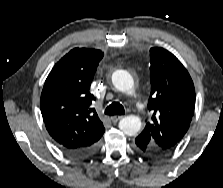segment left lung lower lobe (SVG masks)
Listing matches in <instances>:
<instances>
[{"instance_id": "obj_1", "label": "left lung lower lobe", "mask_w": 223, "mask_h": 188, "mask_svg": "<svg viewBox=\"0 0 223 188\" xmlns=\"http://www.w3.org/2000/svg\"><path fill=\"white\" fill-rule=\"evenodd\" d=\"M135 143H136L137 149L147 155L155 156V157L163 155L162 151L150 148L149 145L140 137H137L135 139Z\"/></svg>"}]
</instances>
